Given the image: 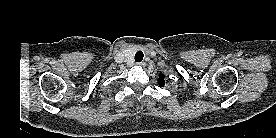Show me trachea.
<instances>
[{"label": "trachea", "instance_id": "3493384b", "mask_svg": "<svg viewBox=\"0 0 276 138\" xmlns=\"http://www.w3.org/2000/svg\"><path fill=\"white\" fill-rule=\"evenodd\" d=\"M144 54L142 51H137L135 54V62H141L143 60Z\"/></svg>", "mask_w": 276, "mask_h": 138}]
</instances>
